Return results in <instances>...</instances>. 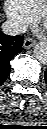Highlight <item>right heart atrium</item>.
<instances>
[{"mask_svg":"<svg viewBox=\"0 0 47 129\" xmlns=\"http://www.w3.org/2000/svg\"><path fill=\"white\" fill-rule=\"evenodd\" d=\"M4 10L14 32H22L33 23L34 16L19 0H5Z\"/></svg>","mask_w":47,"mask_h":129,"instance_id":"right-heart-atrium-1","label":"right heart atrium"}]
</instances>
